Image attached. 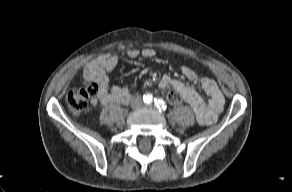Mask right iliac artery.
<instances>
[{
    "instance_id": "obj_1",
    "label": "right iliac artery",
    "mask_w": 292,
    "mask_h": 192,
    "mask_svg": "<svg viewBox=\"0 0 292 192\" xmlns=\"http://www.w3.org/2000/svg\"><path fill=\"white\" fill-rule=\"evenodd\" d=\"M143 100L146 104H151L153 101V96L151 94H146L143 96Z\"/></svg>"
}]
</instances>
